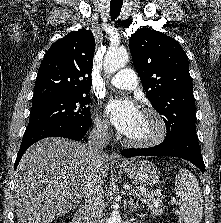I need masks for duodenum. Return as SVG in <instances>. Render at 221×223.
I'll return each mask as SVG.
<instances>
[{
  "label": "duodenum",
  "mask_w": 221,
  "mask_h": 223,
  "mask_svg": "<svg viewBox=\"0 0 221 223\" xmlns=\"http://www.w3.org/2000/svg\"><path fill=\"white\" fill-rule=\"evenodd\" d=\"M85 208L81 205L77 208L72 223H85Z\"/></svg>",
  "instance_id": "410a0bca"
}]
</instances>
